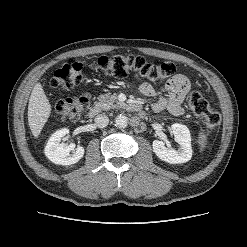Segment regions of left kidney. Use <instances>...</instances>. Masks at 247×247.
Returning a JSON list of instances; mask_svg holds the SVG:
<instances>
[{
	"label": "left kidney",
	"instance_id": "1",
	"mask_svg": "<svg viewBox=\"0 0 247 247\" xmlns=\"http://www.w3.org/2000/svg\"><path fill=\"white\" fill-rule=\"evenodd\" d=\"M175 141L180 145V150L165 146L163 141H153V151L156 156L170 164H182L188 162L192 157L191 134L187 126L175 123L172 126Z\"/></svg>",
	"mask_w": 247,
	"mask_h": 247
}]
</instances>
